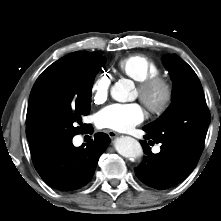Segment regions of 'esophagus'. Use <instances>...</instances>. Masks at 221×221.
Returning a JSON list of instances; mask_svg holds the SVG:
<instances>
[{"mask_svg": "<svg viewBox=\"0 0 221 221\" xmlns=\"http://www.w3.org/2000/svg\"><path fill=\"white\" fill-rule=\"evenodd\" d=\"M106 132H107V134L109 135L110 138H115V137L118 136V133H116L115 131L107 130Z\"/></svg>", "mask_w": 221, "mask_h": 221, "instance_id": "esophagus-1", "label": "esophagus"}]
</instances>
